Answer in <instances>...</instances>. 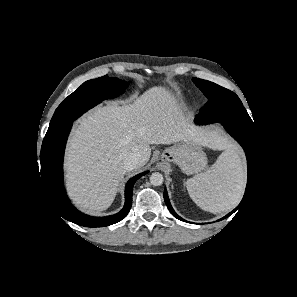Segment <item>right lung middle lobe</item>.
<instances>
[{
  "mask_svg": "<svg viewBox=\"0 0 297 297\" xmlns=\"http://www.w3.org/2000/svg\"><path fill=\"white\" fill-rule=\"evenodd\" d=\"M126 87L125 81L107 75L84 82L58 106L46 135L64 128L101 101L118 96Z\"/></svg>",
  "mask_w": 297,
  "mask_h": 297,
  "instance_id": "dd1d6c3e",
  "label": "right lung middle lobe"
}]
</instances>
